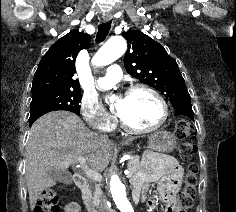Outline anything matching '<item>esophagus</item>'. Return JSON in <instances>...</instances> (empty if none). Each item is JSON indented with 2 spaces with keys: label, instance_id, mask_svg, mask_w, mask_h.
<instances>
[{
  "label": "esophagus",
  "instance_id": "1",
  "mask_svg": "<svg viewBox=\"0 0 236 212\" xmlns=\"http://www.w3.org/2000/svg\"><path fill=\"white\" fill-rule=\"evenodd\" d=\"M112 19V14L108 13L103 16L104 22H108Z\"/></svg>",
  "mask_w": 236,
  "mask_h": 212
}]
</instances>
